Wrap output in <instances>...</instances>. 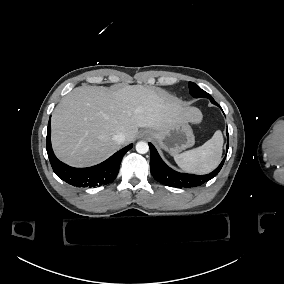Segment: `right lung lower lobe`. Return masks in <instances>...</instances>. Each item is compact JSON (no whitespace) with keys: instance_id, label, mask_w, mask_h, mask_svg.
<instances>
[{"instance_id":"1","label":"right lung lower lobe","mask_w":284,"mask_h":284,"mask_svg":"<svg viewBox=\"0 0 284 284\" xmlns=\"http://www.w3.org/2000/svg\"><path fill=\"white\" fill-rule=\"evenodd\" d=\"M51 119L47 129V154L55 174L70 185L77 187H100L111 183L119 172L120 163L124 154L132 148V144L124 147L104 162L88 167L74 168L59 161L51 146Z\"/></svg>"}]
</instances>
